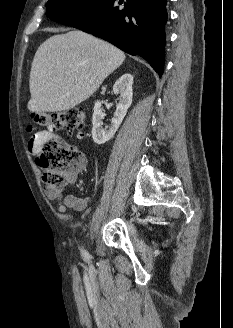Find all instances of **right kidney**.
I'll list each match as a JSON object with an SVG mask.
<instances>
[{"mask_svg": "<svg viewBox=\"0 0 233 328\" xmlns=\"http://www.w3.org/2000/svg\"><path fill=\"white\" fill-rule=\"evenodd\" d=\"M132 84L133 76L129 73L123 74L114 84L113 92L115 94H120L119 103L116 106V112L111 121V126L109 129H102V120L104 119V114L102 112V104L97 101L94 105V113L92 117V137L95 143L98 145L104 144L109 141L119 128L122 123L128 108L132 103Z\"/></svg>", "mask_w": 233, "mask_h": 328, "instance_id": "1", "label": "right kidney"}]
</instances>
